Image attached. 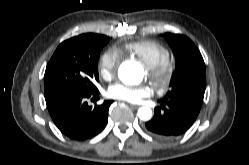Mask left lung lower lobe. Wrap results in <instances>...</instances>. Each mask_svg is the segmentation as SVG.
I'll return each mask as SVG.
<instances>
[{
    "instance_id": "obj_1",
    "label": "left lung lower lobe",
    "mask_w": 249,
    "mask_h": 165,
    "mask_svg": "<svg viewBox=\"0 0 249 165\" xmlns=\"http://www.w3.org/2000/svg\"><path fill=\"white\" fill-rule=\"evenodd\" d=\"M203 97L195 93H183L164 98L161 107L155 108L154 117L145 124L147 130L163 140L182 135L197 118Z\"/></svg>"
}]
</instances>
